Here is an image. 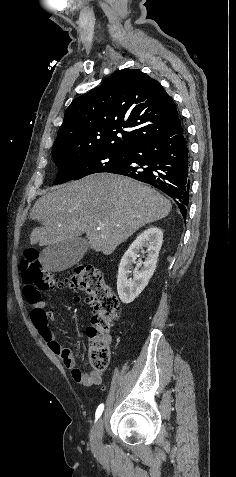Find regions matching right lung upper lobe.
<instances>
[{"mask_svg": "<svg viewBox=\"0 0 236 477\" xmlns=\"http://www.w3.org/2000/svg\"><path fill=\"white\" fill-rule=\"evenodd\" d=\"M178 120L174 101L158 81L138 69H122L70 104L52 155L87 149L127 152L167 132Z\"/></svg>", "mask_w": 236, "mask_h": 477, "instance_id": "cb5924a9", "label": "right lung upper lobe"}]
</instances>
